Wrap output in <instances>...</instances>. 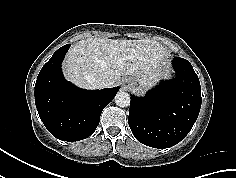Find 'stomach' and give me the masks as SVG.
<instances>
[{"label": "stomach", "instance_id": "stomach-1", "mask_svg": "<svg viewBox=\"0 0 236 178\" xmlns=\"http://www.w3.org/2000/svg\"><path fill=\"white\" fill-rule=\"evenodd\" d=\"M131 89L135 92H141L142 91V85L139 82L133 81L132 84H131Z\"/></svg>", "mask_w": 236, "mask_h": 178}]
</instances>
